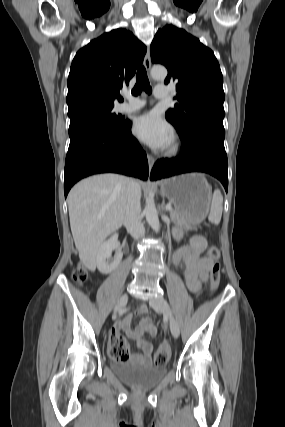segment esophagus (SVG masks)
Returning <instances> with one entry per match:
<instances>
[{"label": "esophagus", "instance_id": "esophagus-1", "mask_svg": "<svg viewBox=\"0 0 285 427\" xmlns=\"http://www.w3.org/2000/svg\"><path fill=\"white\" fill-rule=\"evenodd\" d=\"M144 66H145V68H146L147 71H150V68H151V57H150L149 48H147V52H146V55H145ZM147 159H148V164H149V171H151L152 168H153V166H154L155 159L150 154H147Z\"/></svg>", "mask_w": 285, "mask_h": 427}]
</instances>
